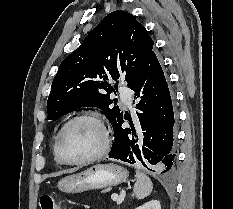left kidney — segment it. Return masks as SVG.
<instances>
[{
  "instance_id": "1",
  "label": "left kidney",
  "mask_w": 233,
  "mask_h": 209,
  "mask_svg": "<svg viewBox=\"0 0 233 209\" xmlns=\"http://www.w3.org/2000/svg\"><path fill=\"white\" fill-rule=\"evenodd\" d=\"M136 209H161L160 201L158 200H151L146 202L144 205L139 206Z\"/></svg>"
}]
</instances>
